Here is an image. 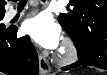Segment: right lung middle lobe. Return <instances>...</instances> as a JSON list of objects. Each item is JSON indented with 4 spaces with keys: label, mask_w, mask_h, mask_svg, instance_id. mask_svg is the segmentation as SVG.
Returning a JSON list of instances; mask_svg holds the SVG:
<instances>
[{
    "label": "right lung middle lobe",
    "mask_w": 107,
    "mask_h": 75,
    "mask_svg": "<svg viewBox=\"0 0 107 75\" xmlns=\"http://www.w3.org/2000/svg\"><path fill=\"white\" fill-rule=\"evenodd\" d=\"M4 14H0V21L3 19ZM8 28L5 27L4 24L0 23V33L7 31Z\"/></svg>",
    "instance_id": "obj_1"
}]
</instances>
